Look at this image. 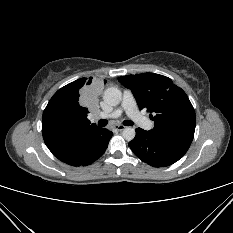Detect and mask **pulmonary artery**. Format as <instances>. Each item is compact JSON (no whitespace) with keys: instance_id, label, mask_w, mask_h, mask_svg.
I'll list each match as a JSON object with an SVG mask.
<instances>
[{"instance_id":"1","label":"pulmonary artery","mask_w":233,"mask_h":233,"mask_svg":"<svg viewBox=\"0 0 233 233\" xmlns=\"http://www.w3.org/2000/svg\"><path fill=\"white\" fill-rule=\"evenodd\" d=\"M125 112L129 118L138 126L144 129H150L152 122L144 115H142L136 104V100L132 92L126 90L123 94L122 104L119 108L113 110L110 113H101L100 118H118Z\"/></svg>"}]
</instances>
